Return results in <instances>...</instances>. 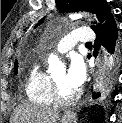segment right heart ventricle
Returning a JSON list of instances; mask_svg holds the SVG:
<instances>
[{
	"mask_svg": "<svg viewBox=\"0 0 122 123\" xmlns=\"http://www.w3.org/2000/svg\"><path fill=\"white\" fill-rule=\"evenodd\" d=\"M50 80L51 77L41 64L37 63L30 69L25 86L26 95L30 102L42 106L53 104Z\"/></svg>",
	"mask_w": 122,
	"mask_h": 123,
	"instance_id": "right-heart-ventricle-1",
	"label": "right heart ventricle"
}]
</instances>
